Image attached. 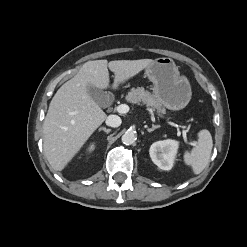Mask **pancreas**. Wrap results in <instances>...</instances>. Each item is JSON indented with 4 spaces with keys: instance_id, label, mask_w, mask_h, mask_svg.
Segmentation results:
<instances>
[{
    "instance_id": "pancreas-1",
    "label": "pancreas",
    "mask_w": 247,
    "mask_h": 247,
    "mask_svg": "<svg viewBox=\"0 0 247 247\" xmlns=\"http://www.w3.org/2000/svg\"><path fill=\"white\" fill-rule=\"evenodd\" d=\"M126 100L130 103L142 102L147 106L152 107L159 113H165L166 110L162 104L147 90L143 87L132 88L126 96Z\"/></svg>"
}]
</instances>
